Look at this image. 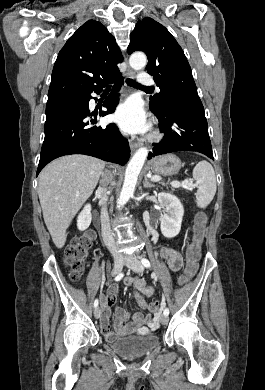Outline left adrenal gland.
Returning a JSON list of instances; mask_svg holds the SVG:
<instances>
[{"label":"left adrenal gland","mask_w":265,"mask_h":390,"mask_svg":"<svg viewBox=\"0 0 265 390\" xmlns=\"http://www.w3.org/2000/svg\"><path fill=\"white\" fill-rule=\"evenodd\" d=\"M143 186H144V188H148V187H154L155 185L152 184L151 182H149L148 177L145 176V181L143 183Z\"/></svg>","instance_id":"1"}]
</instances>
